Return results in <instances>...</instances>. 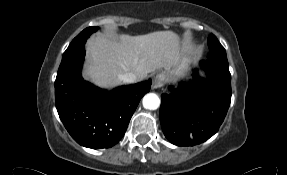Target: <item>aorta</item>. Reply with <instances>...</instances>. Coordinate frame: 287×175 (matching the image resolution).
Wrapping results in <instances>:
<instances>
[{
	"mask_svg": "<svg viewBox=\"0 0 287 175\" xmlns=\"http://www.w3.org/2000/svg\"><path fill=\"white\" fill-rule=\"evenodd\" d=\"M143 107L149 110H156L160 106V99L155 93H148L143 97Z\"/></svg>",
	"mask_w": 287,
	"mask_h": 175,
	"instance_id": "762f6f07",
	"label": "aorta"
}]
</instances>
